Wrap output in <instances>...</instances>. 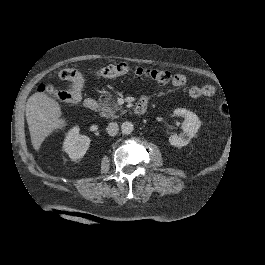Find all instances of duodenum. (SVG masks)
Returning a JSON list of instances; mask_svg holds the SVG:
<instances>
[{"label": "duodenum", "mask_w": 265, "mask_h": 265, "mask_svg": "<svg viewBox=\"0 0 265 265\" xmlns=\"http://www.w3.org/2000/svg\"><path fill=\"white\" fill-rule=\"evenodd\" d=\"M84 106L86 109L90 111H94L97 109L98 103L93 98H86L84 100ZM147 110V104L143 102H139L134 109L135 114L137 115H143Z\"/></svg>", "instance_id": "1"}]
</instances>
